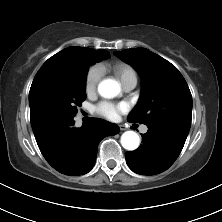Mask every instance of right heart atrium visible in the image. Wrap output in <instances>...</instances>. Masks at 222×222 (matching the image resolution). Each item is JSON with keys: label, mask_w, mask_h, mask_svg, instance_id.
Masks as SVG:
<instances>
[{"label": "right heart atrium", "mask_w": 222, "mask_h": 222, "mask_svg": "<svg viewBox=\"0 0 222 222\" xmlns=\"http://www.w3.org/2000/svg\"><path fill=\"white\" fill-rule=\"evenodd\" d=\"M102 77V70L99 66H91L85 76V90L86 92L93 93Z\"/></svg>", "instance_id": "obj_1"}]
</instances>
